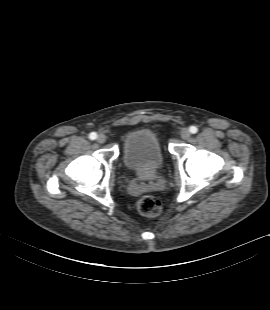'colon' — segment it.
I'll return each mask as SVG.
<instances>
[{"label":"colon","mask_w":270,"mask_h":310,"mask_svg":"<svg viewBox=\"0 0 270 310\" xmlns=\"http://www.w3.org/2000/svg\"><path fill=\"white\" fill-rule=\"evenodd\" d=\"M138 211L148 217H156L161 214L162 205L154 196H143L137 202Z\"/></svg>","instance_id":"1"}]
</instances>
